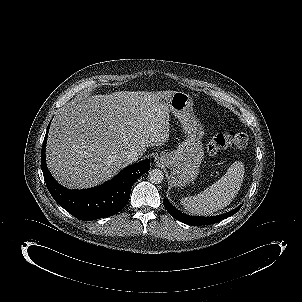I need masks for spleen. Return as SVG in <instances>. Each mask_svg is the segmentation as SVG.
<instances>
[{
  "mask_svg": "<svg viewBox=\"0 0 302 302\" xmlns=\"http://www.w3.org/2000/svg\"><path fill=\"white\" fill-rule=\"evenodd\" d=\"M244 178L241 162H234L226 174L197 195L181 199V205L192 214L211 215L229 205L238 194Z\"/></svg>",
  "mask_w": 302,
  "mask_h": 302,
  "instance_id": "3e777b00",
  "label": "spleen"
}]
</instances>
